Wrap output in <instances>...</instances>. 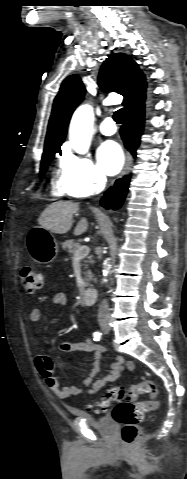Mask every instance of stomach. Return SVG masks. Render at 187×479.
Listing matches in <instances>:
<instances>
[{
	"label": "stomach",
	"instance_id": "0dacf381",
	"mask_svg": "<svg viewBox=\"0 0 187 479\" xmlns=\"http://www.w3.org/2000/svg\"><path fill=\"white\" fill-rule=\"evenodd\" d=\"M27 250L31 258L39 264H48L58 255V243L53 234L42 228H32L26 237Z\"/></svg>",
	"mask_w": 187,
	"mask_h": 479
}]
</instances>
